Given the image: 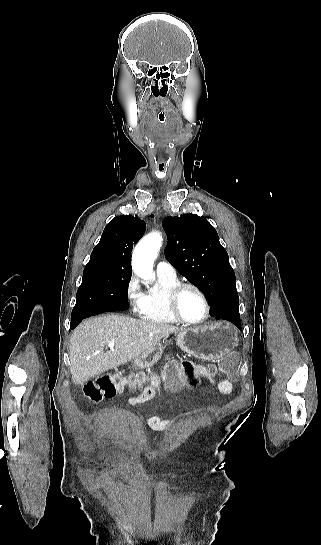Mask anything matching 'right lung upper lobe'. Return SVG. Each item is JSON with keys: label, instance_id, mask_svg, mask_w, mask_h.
Returning a JSON list of instances; mask_svg holds the SVG:
<instances>
[{"label": "right lung upper lobe", "instance_id": "cb5924a9", "mask_svg": "<svg viewBox=\"0 0 321 545\" xmlns=\"http://www.w3.org/2000/svg\"><path fill=\"white\" fill-rule=\"evenodd\" d=\"M145 223L137 217L117 216L109 222L94 247L84 270L102 269L113 273H132L131 251L144 234Z\"/></svg>", "mask_w": 321, "mask_h": 545}]
</instances>
